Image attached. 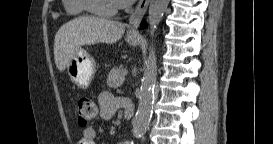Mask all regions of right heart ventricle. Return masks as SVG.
I'll use <instances>...</instances> for the list:
<instances>
[{
	"label": "right heart ventricle",
	"instance_id": "right-heart-ventricle-1",
	"mask_svg": "<svg viewBox=\"0 0 273 144\" xmlns=\"http://www.w3.org/2000/svg\"><path fill=\"white\" fill-rule=\"evenodd\" d=\"M63 8L71 16H79L85 11L83 0H63Z\"/></svg>",
	"mask_w": 273,
	"mask_h": 144
}]
</instances>
